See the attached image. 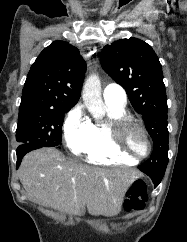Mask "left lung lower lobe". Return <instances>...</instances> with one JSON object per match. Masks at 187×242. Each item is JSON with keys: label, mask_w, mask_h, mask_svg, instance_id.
<instances>
[{"label": "left lung lower lobe", "mask_w": 187, "mask_h": 242, "mask_svg": "<svg viewBox=\"0 0 187 242\" xmlns=\"http://www.w3.org/2000/svg\"><path fill=\"white\" fill-rule=\"evenodd\" d=\"M140 169V168H139ZM142 172L147 174L153 181L155 188L160 184L164 173L163 172H153V171H148V170H143L140 169Z\"/></svg>", "instance_id": "0a47b994"}]
</instances>
